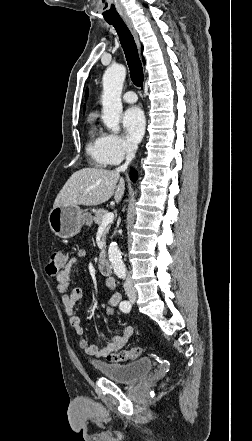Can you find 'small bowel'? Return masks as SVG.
I'll return each mask as SVG.
<instances>
[{
  "label": "small bowel",
  "instance_id": "small-bowel-1",
  "mask_svg": "<svg viewBox=\"0 0 252 441\" xmlns=\"http://www.w3.org/2000/svg\"><path fill=\"white\" fill-rule=\"evenodd\" d=\"M85 251L80 250L76 256L72 258L66 268L56 275L57 291L62 294V304L64 311L69 319L71 327L77 334H81L83 329L81 327L80 318L77 315V305L83 297V289L80 287L73 288L69 293V285L76 262L85 257ZM105 286L110 291V294L105 296L104 301L106 305L118 306L121 302V294L116 291V283L112 277L106 278ZM133 334V328L126 326L119 335H115L110 342L105 343L101 347L90 345L86 340L82 339L79 346L86 354L96 358H105L108 355L122 349L129 338Z\"/></svg>",
  "mask_w": 252,
  "mask_h": 441
}]
</instances>
